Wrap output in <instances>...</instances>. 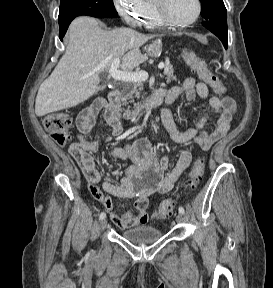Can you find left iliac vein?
<instances>
[{
  "instance_id": "1",
  "label": "left iliac vein",
  "mask_w": 273,
  "mask_h": 288,
  "mask_svg": "<svg viewBox=\"0 0 273 288\" xmlns=\"http://www.w3.org/2000/svg\"><path fill=\"white\" fill-rule=\"evenodd\" d=\"M183 221V214L179 213L176 215V222L181 223Z\"/></svg>"
}]
</instances>
